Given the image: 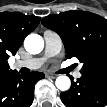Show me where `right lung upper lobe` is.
<instances>
[{"mask_svg":"<svg viewBox=\"0 0 107 107\" xmlns=\"http://www.w3.org/2000/svg\"><path fill=\"white\" fill-rule=\"evenodd\" d=\"M40 17L19 12L0 13V74L9 72V55H15L24 38L39 24Z\"/></svg>","mask_w":107,"mask_h":107,"instance_id":"right-lung-upper-lobe-1","label":"right lung upper lobe"}]
</instances>
